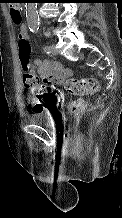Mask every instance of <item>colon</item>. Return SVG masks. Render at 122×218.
<instances>
[{
  "instance_id": "obj_1",
  "label": "colon",
  "mask_w": 122,
  "mask_h": 218,
  "mask_svg": "<svg viewBox=\"0 0 122 218\" xmlns=\"http://www.w3.org/2000/svg\"><path fill=\"white\" fill-rule=\"evenodd\" d=\"M10 7V15L13 23L16 26L21 27L22 25V11L15 0ZM18 50L21 67L23 70L22 81L26 88L30 89L33 94L37 97L48 95V86L42 83L34 73V66L30 61L31 45L27 36V33L19 30L18 32ZM99 83L96 78H79V79H68L65 82L66 90L75 95H90L98 90ZM86 104L82 100L73 101L68 105V115L75 118L81 114L85 109ZM38 110V108H34Z\"/></svg>"
}]
</instances>
